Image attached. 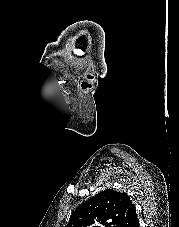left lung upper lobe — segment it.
Returning <instances> with one entry per match:
<instances>
[{
    "instance_id": "left-lung-upper-lobe-1",
    "label": "left lung upper lobe",
    "mask_w": 179,
    "mask_h": 227,
    "mask_svg": "<svg viewBox=\"0 0 179 227\" xmlns=\"http://www.w3.org/2000/svg\"><path fill=\"white\" fill-rule=\"evenodd\" d=\"M136 209L126 193L104 190L78 206L66 227H138Z\"/></svg>"
}]
</instances>
